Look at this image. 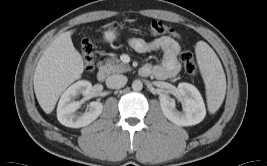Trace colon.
Instances as JSON below:
<instances>
[{
    "label": "colon",
    "instance_id": "colon-1",
    "mask_svg": "<svg viewBox=\"0 0 267 166\" xmlns=\"http://www.w3.org/2000/svg\"><path fill=\"white\" fill-rule=\"evenodd\" d=\"M149 31L153 35H164L171 32V29L161 20H153L150 23ZM81 52L83 63L87 71H92L95 67L96 51L95 44L91 39H84L81 43ZM180 59L184 65L187 74L195 76L198 73V67L193 60L192 54L189 51H183Z\"/></svg>",
    "mask_w": 267,
    "mask_h": 166
}]
</instances>
